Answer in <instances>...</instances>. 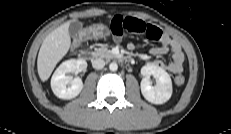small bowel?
<instances>
[{
  "mask_svg": "<svg viewBox=\"0 0 231 134\" xmlns=\"http://www.w3.org/2000/svg\"><path fill=\"white\" fill-rule=\"evenodd\" d=\"M112 34V38L115 42H119L125 31L142 34L151 40L159 41V45L150 49V54L155 56H162L167 53L171 55V61L165 64L161 60H155L151 64L158 68H164L170 73L179 74L183 71L184 54L180 47V44L163 33L162 30L150 23L136 18V17H123L114 16L106 24ZM134 48V47H133Z\"/></svg>",
  "mask_w": 231,
  "mask_h": 134,
  "instance_id": "c3829d8e",
  "label": "small bowel"
}]
</instances>
